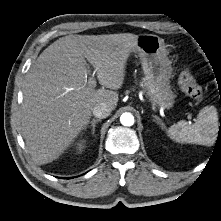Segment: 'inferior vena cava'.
Masks as SVG:
<instances>
[{
	"instance_id": "1",
	"label": "inferior vena cava",
	"mask_w": 221,
	"mask_h": 221,
	"mask_svg": "<svg viewBox=\"0 0 221 221\" xmlns=\"http://www.w3.org/2000/svg\"><path fill=\"white\" fill-rule=\"evenodd\" d=\"M110 108L105 103H100L94 106L92 113L95 117L99 119L106 118L110 115Z\"/></svg>"
}]
</instances>
